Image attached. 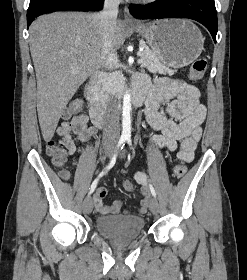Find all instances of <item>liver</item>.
I'll list each match as a JSON object with an SVG mask.
<instances>
[{"mask_svg":"<svg viewBox=\"0 0 247 280\" xmlns=\"http://www.w3.org/2000/svg\"><path fill=\"white\" fill-rule=\"evenodd\" d=\"M37 78V112L45 141L52 139L70 99L102 65V37L95 13L56 12L38 17L29 28ZM125 24L116 21L112 44L120 48Z\"/></svg>","mask_w":247,"mask_h":280,"instance_id":"6515ba94","label":"liver"}]
</instances>
